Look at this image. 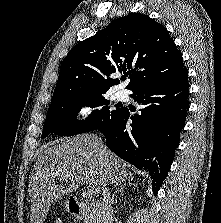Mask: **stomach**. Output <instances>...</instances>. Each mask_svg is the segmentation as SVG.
Instances as JSON below:
<instances>
[{"label":"stomach","instance_id":"obj_1","mask_svg":"<svg viewBox=\"0 0 221 223\" xmlns=\"http://www.w3.org/2000/svg\"><path fill=\"white\" fill-rule=\"evenodd\" d=\"M66 209H68V205L66 204Z\"/></svg>","mask_w":221,"mask_h":223}]
</instances>
